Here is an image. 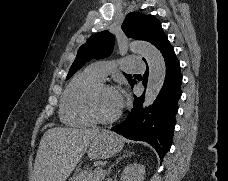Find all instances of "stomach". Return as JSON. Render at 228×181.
Wrapping results in <instances>:
<instances>
[{"label": "stomach", "instance_id": "obj_1", "mask_svg": "<svg viewBox=\"0 0 228 181\" xmlns=\"http://www.w3.org/2000/svg\"><path fill=\"white\" fill-rule=\"evenodd\" d=\"M123 141L111 131H99L88 149L89 159H109L121 151Z\"/></svg>", "mask_w": 228, "mask_h": 181}]
</instances>
